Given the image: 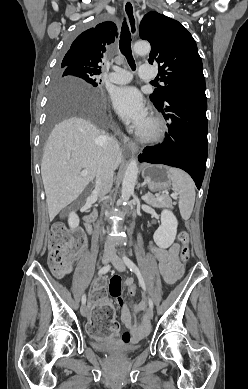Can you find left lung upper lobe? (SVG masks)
<instances>
[{"instance_id": "left-lung-upper-lobe-1", "label": "left lung upper lobe", "mask_w": 248, "mask_h": 389, "mask_svg": "<svg viewBox=\"0 0 248 389\" xmlns=\"http://www.w3.org/2000/svg\"><path fill=\"white\" fill-rule=\"evenodd\" d=\"M140 37L151 44L149 63H157L161 81L150 99L161 105L177 88L205 82L203 65L192 35L176 20L158 12L147 13L141 21Z\"/></svg>"}]
</instances>
